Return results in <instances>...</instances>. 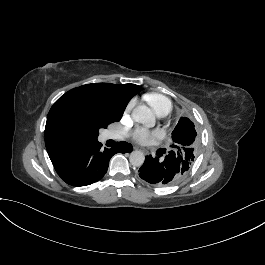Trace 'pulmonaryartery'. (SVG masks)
<instances>
[{"label":"pulmonary artery","instance_id":"1","mask_svg":"<svg viewBox=\"0 0 265 265\" xmlns=\"http://www.w3.org/2000/svg\"><path fill=\"white\" fill-rule=\"evenodd\" d=\"M110 135H111L112 137H114V138H118V139H122V138H123V135L118 134V133L115 132V131H111V132H110Z\"/></svg>","mask_w":265,"mask_h":265}]
</instances>
